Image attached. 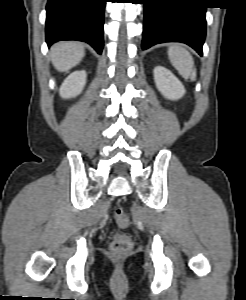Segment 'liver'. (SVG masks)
<instances>
[{
    "instance_id": "liver-1",
    "label": "liver",
    "mask_w": 246,
    "mask_h": 300,
    "mask_svg": "<svg viewBox=\"0 0 246 300\" xmlns=\"http://www.w3.org/2000/svg\"><path fill=\"white\" fill-rule=\"evenodd\" d=\"M84 55L83 45L72 41L58 42L50 51L52 64L60 72L69 71L80 63Z\"/></svg>"
}]
</instances>
